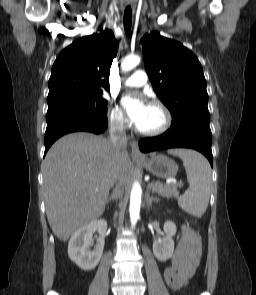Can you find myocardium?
Wrapping results in <instances>:
<instances>
[{
    "mask_svg": "<svg viewBox=\"0 0 256 295\" xmlns=\"http://www.w3.org/2000/svg\"><path fill=\"white\" fill-rule=\"evenodd\" d=\"M149 106L156 108L160 112L162 116L161 123L159 124V126L153 129L143 130L137 127L136 130L139 134L144 136H157V135L163 134L169 129L171 125V122H172L171 114L169 110L166 108V106L163 103H161L159 100H152Z\"/></svg>",
    "mask_w": 256,
    "mask_h": 295,
    "instance_id": "f54148a6",
    "label": "myocardium"
}]
</instances>
